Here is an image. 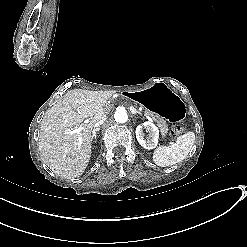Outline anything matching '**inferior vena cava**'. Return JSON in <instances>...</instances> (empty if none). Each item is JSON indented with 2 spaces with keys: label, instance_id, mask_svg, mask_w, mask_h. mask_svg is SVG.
Here are the masks:
<instances>
[{
  "label": "inferior vena cava",
  "instance_id": "inferior-vena-cava-1",
  "mask_svg": "<svg viewBox=\"0 0 247 247\" xmlns=\"http://www.w3.org/2000/svg\"><path fill=\"white\" fill-rule=\"evenodd\" d=\"M107 120V117H101L95 124H94V129H97V128H99V127H101L103 124H104V122Z\"/></svg>",
  "mask_w": 247,
  "mask_h": 247
}]
</instances>
